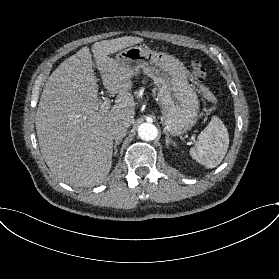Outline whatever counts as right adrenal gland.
I'll use <instances>...</instances> for the list:
<instances>
[{
	"label": "right adrenal gland",
	"mask_w": 279,
	"mask_h": 279,
	"mask_svg": "<svg viewBox=\"0 0 279 279\" xmlns=\"http://www.w3.org/2000/svg\"><path fill=\"white\" fill-rule=\"evenodd\" d=\"M120 141H121V140H120ZM120 141H119V140H116L115 143H114V153H115V154H117V152H118V151H117V145L120 143Z\"/></svg>",
	"instance_id": "1"
}]
</instances>
